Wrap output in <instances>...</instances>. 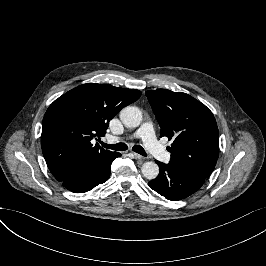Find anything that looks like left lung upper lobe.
<instances>
[{
    "label": "left lung upper lobe",
    "mask_w": 266,
    "mask_h": 266,
    "mask_svg": "<svg viewBox=\"0 0 266 266\" xmlns=\"http://www.w3.org/2000/svg\"><path fill=\"white\" fill-rule=\"evenodd\" d=\"M161 127L173 139L170 163L207 178L219 156V133L212 112L188 94L158 89L145 92Z\"/></svg>",
    "instance_id": "left-lung-upper-lobe-1"
}]
</instances>
